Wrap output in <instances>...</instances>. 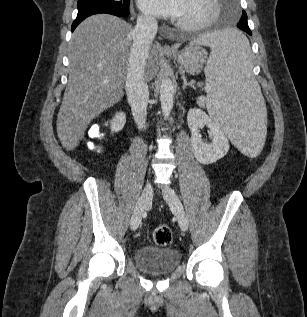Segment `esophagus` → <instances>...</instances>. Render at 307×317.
Returning a JSON list of instances; mask_svg holds the SVG:
<instances>
[{
  "instance_id": "esophagus-1",
  "label": "esophagus",
  "mask_w": 307,
  "mask_h": 317,
  "mask_svg": "<svg viewBox=\"0 0 307 317\" xmlns=\"http://www.w3.org/2000/svg\"><path fill=\"white\" fill-rule=\"evenodd\" d=\"M162 51L164 53H173V49L169 45H163L162 46Z\"/></svg>"
}]
</instances>
